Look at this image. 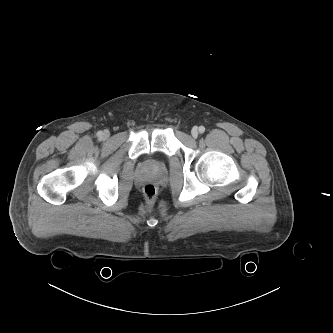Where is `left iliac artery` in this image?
Masks as SVG:
<instances>
[{
  "label": "left iliac artery",
  "mask_w": 333,
  "mask_h": 333,
  "mask_svg": "<svg viewBox=\"0 0 333 333\" xmlns=\"http://www.w3.org/2000/svg\"><path fill=\"white\" fill-rule=\"evenodd\" d=\"M204 131H205V127H204V126H200V127H199V132H200V133H203Z\"/></svg>",
  "instance_id": "44dca946"
}]
</instances>
